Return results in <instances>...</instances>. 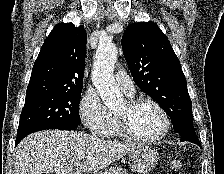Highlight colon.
<instances>
[{
    "label": "colon",
    "instance_id": "1",
    "mask_svg": "<svg viewBox=\"0 0 224 174\" xmlns=\"http://www.w3.org/2000/svg\"><path fill=\"white\" fill-rule=\"evenodd\" d=\"M169 165H170V169L174 172H178L183 168V163L178 158H171Z\"/></svg>",
    "mask_w": 224,
    "mask_h": 174
}]
</instances>
